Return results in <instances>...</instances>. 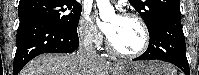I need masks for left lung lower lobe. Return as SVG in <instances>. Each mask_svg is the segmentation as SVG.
<instances>
[{
    "label": "left lung lower lobe",
    "mask_w": 199,
    "mask_h": 75,
    "mask_svg": "<svg viewBox=\"0 0 199 75\" xmlns=\"http://www.w3.org/2000/svg\"><path fill=\"white\" fill-rule=\"evenodd\" d=\"M149 35L150 41L146 52L133 60L170 62L179 67L186 75H190L185 38L181 25V14L166 16Z\"/></svg>",
    "instance_id": "1"
}]
</instances>
